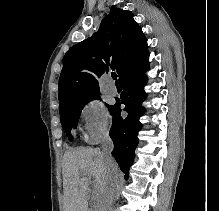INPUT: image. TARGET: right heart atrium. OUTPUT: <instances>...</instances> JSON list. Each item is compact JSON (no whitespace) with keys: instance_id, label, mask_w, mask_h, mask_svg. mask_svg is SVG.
<instances>
[{"instance_id":"1","label":"right heart atrium","mask_w":219,"mask_h":211,"mask_svg":"<svg viewBox=\"0 0 219 211\" xmlns=\"http://www.w3.org/2000/svg\"><path fill=\"white\" fill-rule=\"evenodd\" d=\"M80 117L84 122L86 142L96 143L107 135L110 119L102 103L97 100L89 101L81 109Z\"/></svg>"}]
</instances>
